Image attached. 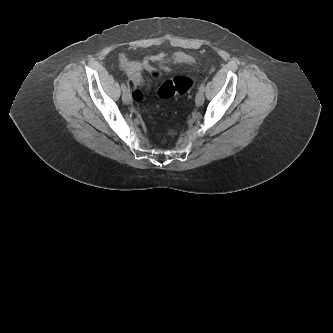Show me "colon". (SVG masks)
<instances>
[{"instance_id":"5ec220e1","label":"colon","mask_w":333,"mask_h":333,"mask_svg":"<svg viewBox=\"0 0 333 333\" xmlns=\"http://www.w3.org/2000/svg\"><path fill=\"white\" fill-rule=\"evenodd\" d=\"M193 80L188 77L177 76L164 81L159 87L157 94L161 98H170L175 95H184L190 92Z\"/></svg>"}]
</instances>
